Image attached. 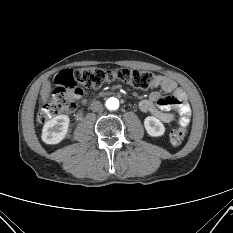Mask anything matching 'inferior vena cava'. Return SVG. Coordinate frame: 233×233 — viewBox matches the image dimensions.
Here are the masks:
<instances>
[{
    "label": "inferior vena cava",
    "instance_id": "obj_1",
    "mask_svg": "<svg viewBox=\"0 0 233 233\" xmlns=\"http://www.w3.org/2000/svg\"><path fill=\"white\" fill-rule=\"evenodd\" d=\"M90 108L94 112L101 111L103 109V105L100 101L94 100L90 104Z\"/></svg>",
    "mask_w": 233,
    "mask_h": 233
}]
</instances>
